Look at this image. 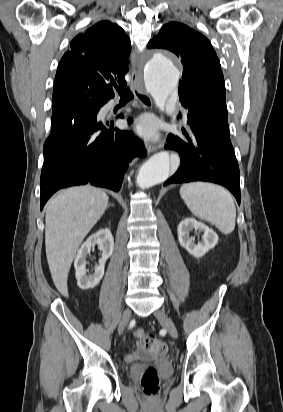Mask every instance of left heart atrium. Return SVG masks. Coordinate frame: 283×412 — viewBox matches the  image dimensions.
<instances>
[{"instance_id": "39dd6f15", "label": "left heart atrium", "mask_w": 283, "mask_h": 412, "mask_svg": "<svg viewBox=\"0 0 283 412\" xmlns=\"http://www.w3.org/2000/svg\"><path fill=\"white\" fill-rule=\"evenodd\" d=\"M134 133L140 138L150 141L157 137L155 120L150 116H142L132 126Z\"/></svg>"}]
</instances>
